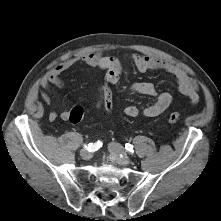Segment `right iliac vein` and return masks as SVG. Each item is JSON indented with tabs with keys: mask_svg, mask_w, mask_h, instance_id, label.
Segmentation results:
<instances>
[{
	"mask_svg": "<svg viewBox=\"0 0 221 221\" xmlns=\"http://www.w3.org/2000/svg\"><path fill=\"white\" fill-rule=\"evenodd\" d=\"M80 156L82 157V159L84 160H89L92 156L91 152L87 149H82L80 151Z\"/></svg>",
	"mask_w": 221,
	"mask_h": 221,
	"instance_id": "1",
	"label": "right iliac vein"
}]
</instances>
